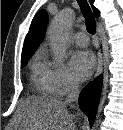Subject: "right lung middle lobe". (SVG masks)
Segmentation results:
<instances>
[{"mask_svg":"<svg viewBox=\"0 0 123 130\" xmlns=\"http://www.w3.org/2000/svg\"><path fill=\"white\" fill-rule=\"evenodd\" d=\"M32 55H26L21 57V66H26L28 60L31 58Z\"/></svg>","mask_w":123,"mask_h":130,"instance_id":"1","label":"right lung middle lobe"}]
</instances>
